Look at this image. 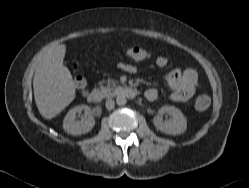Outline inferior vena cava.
Here are the masks:
<instances>
[{
	"label": "inferior vena cava",
	"instance_id": "602c4592",
	"mask_svg": "<svg viewBox=\"0 0 249 188\" xmlns=\"http://www.w3.org/2000/svg\"><path fill=\"white\" fill-rule=\"evenodd\" d=\"M105 105H106V108H107L108 110H111V109L114 108L115 102H114V100H112V99H108V100L106 101Z\"/></svg>",
	"mask_w": 249,
	"mask_h": 188
}]
</instances>
